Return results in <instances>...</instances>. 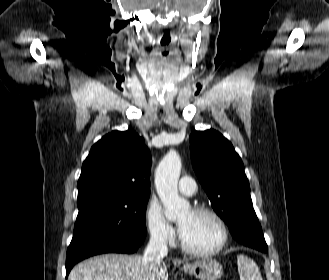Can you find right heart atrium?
Wrapping results in <instances>:
<instances>
[{
  "label": "right heart atrium",
  "instance_id": "1",
  "mask_svg": "<svg viewBox=\"0 0 329 280\" xmlns=\"http://www.w3.org/2000/svg\"><path fill=\"white\" fill-rule=\"evenodd\" d=\"M146 226L150 239L160 245H170L175 237L172 225L166 220L162 209L155 203L146 208Z\"/></svg>",
  "mask_w": 329,
  "mask_h": 280
}]
</instances>
